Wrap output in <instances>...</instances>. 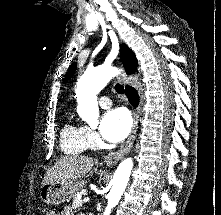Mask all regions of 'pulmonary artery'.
Here are the masks:
<instances>
[{
    "label": "pulmonary artery",
    "instance_id": "1",
    "mask_svg": "<svg viewBox=\"0 0 221 215\" xmlns=\"http://www.w3.org/2000/svg\"><path fill=\"white\" fill-rule=\"evenodd\" d=\"M99 105L104 108V109H107V108H110L111 105H112V101L110 100L109 97L107 96H102L100 99H99Z\"/></svg>",
    "mask_w": 221,
    "mask_h": 215
}]
</instances>
